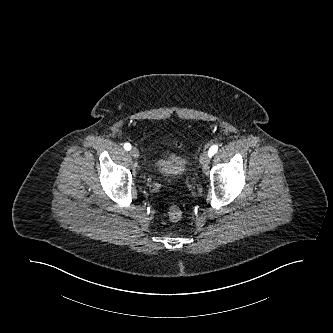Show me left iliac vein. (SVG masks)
I'll return each mask as SVG.
<instances>
[{
    "mask_svg": "<svg viewBox=\"0 0 333 333\" xmlns=\"http://www.w3.org/2000/svg\"><path fill=\"white\" fill-rule=\"evenodd\" d=\"M200 164L206 168L210 162V155L207 151H204L199 158Z\"/></svg>",
    "mask_w": 333,
    "mask_h": 333,
    "instance_id": "obj_1",
    "label": "left iliac vein"
}]
</instances>
